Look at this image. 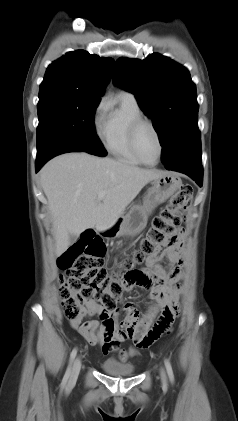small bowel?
Segmentation results:
<instances>
[{
  "label": "small bowel",
  "mask_w": 238,
  "mask_h": 421,
  "mask_svg": "<svg viewBox=\"0 0 238 421\" xmlns=\"http://www.w3.org/2000/svg\"><path fill=\"white\" fill-rule=\"evenodd\" d=\"M162 260L165 261V265L159 263ZM147 265V269H135L127 273L131 283L129 289L138 287L146 290L154 302L145 315H140L136 304L126 302L123 305L126 316L120 326H116L114 322L110 325L103 320H85L103 312L101 306L88 301L84 304L82 315L70 320L71 327L89 344L99 346L104 354L118 350L120 344L126 340L134 341L140 348L148 347L153 342L143 345L146 337L171 324L178 311L181 295L183 233H175L170 243L148 259ZM157 313L159 315L155 319Z\"/></svg>",
  "instance_id": "obj_1"
}]
</instances>
